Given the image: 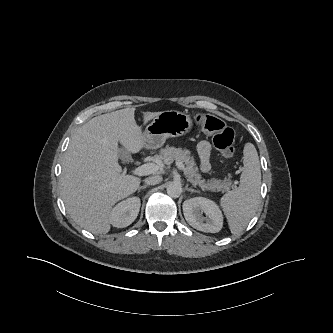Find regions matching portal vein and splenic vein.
I'll return each instance as SVG.
<instances>
[{"instance_id": "18ae733b", "label": "portal vein and splenic vein", "mask_w": 333, "mask_h": 333, "mask_svg": "<svg viewBox=\"0 0 333 333\" xmlns=\"http://www.w3.org/2000/svg\"><path fill=\"white\" fill-rule=\"evenodd\" d=\"M175 164L179 169H181V170L185 169V166L182 162L176 161ZM158 169H159V166L156 165L155 163H147V164H143V165L135 168L133 170V174L138 175V176H145V175H149V174L156 172Z\"/></svg>"}]
</instances>
